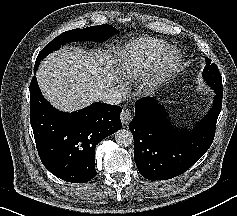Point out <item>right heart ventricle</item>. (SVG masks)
<instances>
[{"label": "right heart ventricle", "mask_w": 237, "mask_h": 216, "mask_svg": "<svg viewBox=\"0 0 237 216\" xmlns=\"http://www.w3.org/2000/svg\"><path fill=\"white\" fill-rule=\"evenodd\" d=\"M169 45L164 39L139 37L117 48L114 51V81L136 86Z\"/></svg>", "instance_id": "obj_1"}]
</instances>
